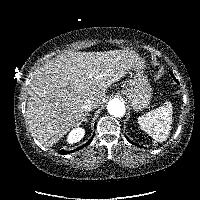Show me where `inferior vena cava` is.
<instances>
[{
  "mask_svg": "<svg viewBox=\"0 0 200 200\" xmlns=\"http://www.w3.org/2000/svg\"><path fill=\"white\" fill-rule=\"evenodd\" d=\"M93 108H94V102L90 99L85 100L81 105V109L83 112H89Z\"/></svg>",
  "mask_w": 200,
  "mask_h": 200,
  "instance_id": "inferior-vena-cava-1",
  "label": "inferior vena cava"
}]
</instances>
